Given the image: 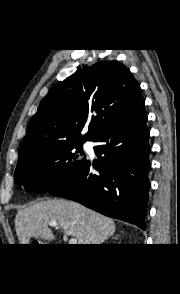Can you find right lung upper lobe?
Returning <instances> with one entry per match:
<instances>
[{
  "instance_id": "right-lung-upper-lobe-1",
  "label": "right lung upper lobe",
  "mask_w": 180,
  "mask_h": 294,
  "mask_svg": "<svg viewBox=\"0 0 180 294\" xmlns=\"http://www.w3.org/2000/svg\"><path fill=\"white\" fill-rule=\"evenodd\" d=\"M142 100L139 83L117 61L78 71L53 86L40 103L19 146L18 162L46 147L93 141Z\"/></svg>"
}]
</instances>
